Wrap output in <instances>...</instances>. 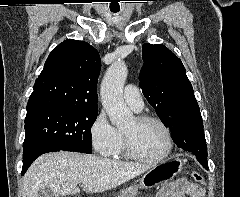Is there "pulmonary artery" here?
Returning <instances> with one entry per match:
<instances>
[{
    "instance_id": "obj_1",
    "label": "pulmonary artery",
    "mask_w": 240,
    "mask_h": 197,
    "mask_svg": "<svg viewBox=\"0 0 240 197\" xmlns=\"http://www.w3.org/2000/svg\"><path fill=\"white\" fill-rule=\"evenodd\" d=\"M125 103L134 111L139 112L143 108V100L139 89L134 85H127L123 92Z\"/></svg>"
}]
</instances>
